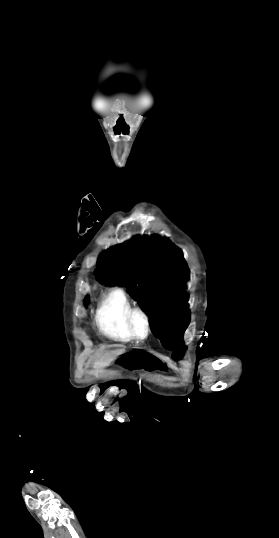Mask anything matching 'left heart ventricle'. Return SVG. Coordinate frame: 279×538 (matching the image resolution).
I'll return each mask as SVG.
<instances>
[{
    "mask_svg": "<svg viewBox=\"0 0 279 538\" xmlns=\"http://www.w3.org/2000/svg\"><path fill=\"white\" fill-rule=\"evenodd\" d=\"M134 330L137 335L142 336L144 335V323L140 317H136L134 320Z\"/></svg>",
    "mask_w": 279,
    "mask_h": 538,
    "instance_id": "left-heart-ventricle-1",
    "label": "left heart ventricle"
}]
</instances>
